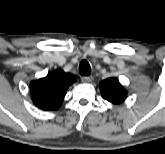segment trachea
I'll return each instance as SVG.
<instances>
[{
    "label": "trachea",
    "instance_id": "obj_1",
    "mask_svg": "<svg viewBox=\"0 0 165 154\" xmlns=\"http://www.w3.org/2000/svg\"><path fill=\"white\" fill-rule=\"evenodd\" d=\"M79 72L82 76H89L90 75L91 67H90V64L86 60H83L80 63Z\"/></svg>",
    "mask_w": 165,
    "mask_h": 154
}]
</instances>
